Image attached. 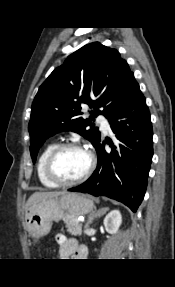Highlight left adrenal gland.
<instances>
[{"mask_svg": "<svg viewBox=\"0 0 175 287\" xmlns=\"http://www.w3.org/2000/svg\"><path fill=\"white\" fill-rule=\"evenodd\" d=\"M108 211L107 207H102L98 210H94L92 211L89 216H88V220L86 223V227H89V225L93 222V220L95 218L101 217L102 215H104L106 212Z\"/></svg>", "mask_w": 175, "mask_h": 287, "instance_id": "a2214340", "label": "left adrenal gland"}]
</instances>
